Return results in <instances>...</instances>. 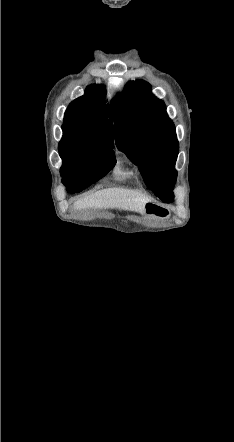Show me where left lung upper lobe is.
Segmentation results:
<instances>
[{"label": "left lung upper lobe", "instance_id": "obj_1", "mask_svg": "<svg viewBox=\"0 0 234 442\" xmlns=\"http://www.w3.org/2000/svg\"><path fill=\"white\" fill-rule=\"evenodd\" d=\"M116 146L139 165L147 187L162 201H173L178 140L162 100L142 80L129 82L111 102Z\"/></svg>", "mask_w": 234, "mask_h": 442}]
</instances>
